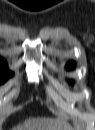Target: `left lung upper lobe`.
<instances>
[{
  "label": "left lung upper lobe",
  "mask_w": 95,
  "mask_h": 130,
  "mask_svg": "<svg viewBox=\"0 0 95 130\" xmlns=\"http://www.w3.org/2000/svg\"><path fill=\"white\" fill-rule=\"evenodd\" d=\"M75 64L73 62H69L66 66L67 69H72L74 68ZM71 83H73V81H71Z\"/></svg>",
  "instance_id": "left-lung-upper-lobe-1"
}]
</instances>
